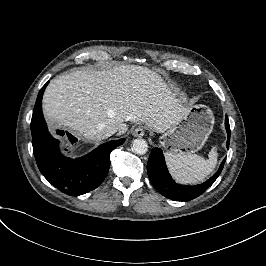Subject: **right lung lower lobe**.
<instances>
[{"label": "right lung lower lobe", "instance_id": "obj_1", "mask_svg": "<svg viewBox=\"0 0 266 266\" xmlns=\"http://www.w3.org/2000/svg\"><path fill=\"white\" fill-rule=\"evenodd\" d=\"M49 81L41 88L33 110L31 133L33 152L42 175L57 189L78 196L96 189L107 176L111 151L125 139L107 142L84 157L70 159L61 154L59 141L48 132L42 113V96Z\"/></svg>", "mask_w": 266, "mask_h": 266}]
</instances>
